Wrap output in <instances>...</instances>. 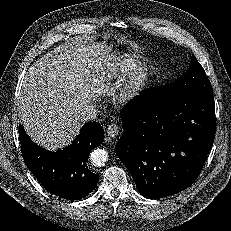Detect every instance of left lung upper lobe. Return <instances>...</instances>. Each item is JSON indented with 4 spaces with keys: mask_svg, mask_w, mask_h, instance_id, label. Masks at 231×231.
I'll list each match as a JSON object with an SVG mask.
<instances>
[{
    "mask_svg": "<svg viewBox=\"0 0 231 231\" xmlns=\"http://www.w3.org/2000/svg\"><path fill=\"white\" fill-rule=\"evenodd\" d=\"M148 91L150 92L149 99L158 103L196 93L213 94L211 83L194 55H192L188 72L183 76L172 83Z\"/></svg>",
    "mask_w": 231,
    "mask_h": 231,
    "instance_id": "left-lung-upper-lobe-1",
    "label": "left lung upper lobe"
}]
</instances>
